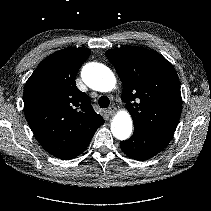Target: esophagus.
I'll return each mask as SVG.
<instances>
[{"label":"esophagus","instance_id":"1","mask_svg":"<svg viewBox=\"0 0 211 211\" xmlns=\"http://www.w3.org/2000/svg\"><path fill=\"white\" fill-rule=\"evenodd\" d=\"M116 111H117L116 107L115 106H111L108 109V114L112 116V115H114L116 113Z\"/></svg>","mask_w":211,"mask_h":211}]
</instances>
